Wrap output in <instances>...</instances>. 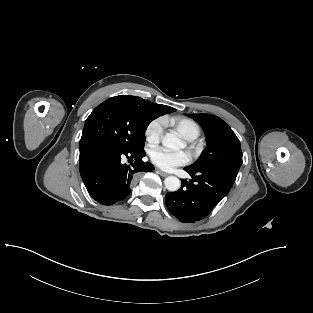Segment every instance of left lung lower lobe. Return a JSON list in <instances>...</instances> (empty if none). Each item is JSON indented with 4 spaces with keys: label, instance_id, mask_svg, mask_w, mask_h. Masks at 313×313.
<instances>
[{
    "label": "left lung lower lobe",
    "instance_id": "left-lung-lower-lobe-1",
    "mask_svg": "<svg viewBox=\"0 0 313 313\" xmlns=\"http://www.w3.org/2000/svg\"><path fill=\"white\" fill-rule=\"evenodd\" d=\"M185 170L192 179L182 180L181 188L167 193L165 202L168 210L179 221L192 223L205 218L216 204L224 198L234 184L237 169L210 167Z\"/></svg>",
    "mask_w": 313,
    "mask_h": 313
}]
</instances>
